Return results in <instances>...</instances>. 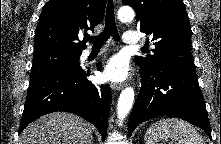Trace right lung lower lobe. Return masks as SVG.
Returning <instances> with one entry per match:
<instances>
[{
    "label": "right lung lower lobe",
    "mask_w": 221,
    "mask_h": 144,
    "mask_svg": "<svg viewBox=\"0 0 221 144\" xmlns=\"http://www.w3.org/2000/svg\"><path fill=\"white\" fill-rule=\"evenodd\" d=\"M98 69L101 65L98 64ZM90 69L79 64L53 70L30 81L19 134L42 115L66 111L92 123L104 140L107 133L111 89L108 84L95 86L86 77Z\"/></svg>",
    "instance_id": "1"
}]
</instances>
